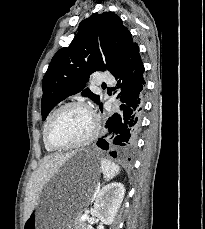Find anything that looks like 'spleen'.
<instances>
[{"mask_svg": "<svg viewBox=\"0 0 205 229\" xmlns=\"http://www.w3.org/2000/svg\"><path fill=\"white\" fill-rule=\"evenodd\" d=\"M101 170L104 174L105 180L108 181L114 178L120 172V167L110 160L101 159Z\"/></svg>", "mask_w": 205, "mask_h": 229, "instance_id": "1", "label": "spleen"}]
</instances>
